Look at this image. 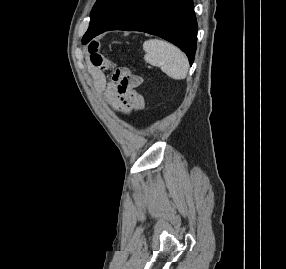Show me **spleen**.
<instances>
[{"label":"spleen","mask_w":286,"mask_h":269,"mask_svg":"<svg viewBox=\"0 0 286 269\" xmlns=\"http://www.w3.org/2000/svg\"><path fill=\"white\" fill-rule=\"evenodd\" d=\"M145 61L158 66L173 79H185L188 72V59L176 46L166 41L149 39L144 42Z\"/></svg>","instance_id":"3e777b00"}]
</instances>
